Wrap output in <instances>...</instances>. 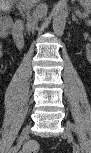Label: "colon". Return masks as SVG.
<instances>
[{
	"mask_svg": "<svg viewBox=\"0 0 91 153\" xmlns=\"http://www.w3.org/2000/svg\"><path fill=\"white\" fill-rule=\"evenodd\" d=\"M1 27L5 30H8L10 27V21L6 17H1L0 19ZM40 150V144L36 140H30L25 143L22 148L21 153H37Z\"/></svg>",
	"mask_w": 91,
	"mask_h": 153,
	"instance_id": "obj_1",
	"label": "colon"
}]
</instances>
